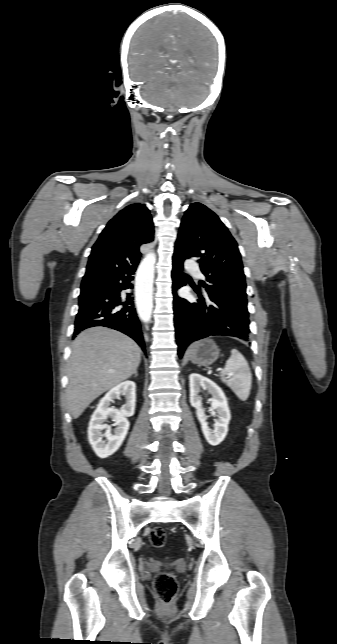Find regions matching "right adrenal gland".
<instances>
[{
  "label": "right adrenal gland",
  "mask_w": 337,
  "mask_h": 644,
  "mask_svg": "<svg viewBox=\"0 0 337 644\" xmlns=\"http://www.w3.org/2000/svg\"><path fill=\"white\" fill-rule=\"evenodd\" d=\"M137 375H138L137 372H135L134 377H137Z\"/></svg>",
  "instance_id": "obj_1"
}]
</instances>
